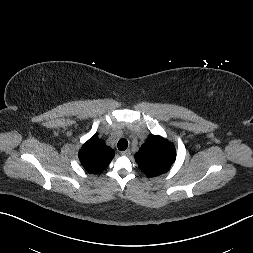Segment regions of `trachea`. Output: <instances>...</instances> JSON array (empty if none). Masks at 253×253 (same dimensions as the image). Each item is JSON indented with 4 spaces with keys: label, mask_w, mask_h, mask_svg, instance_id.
Masks as SVG:
<instances>
[{
    "label": "trachea",
    "mask_w": 253,
    "mask_h": 253,
    "mask_svg": "<svg viewBox=\"0 0 253 253\" xmlns=\"http://www.w3.org/2000/svg\"><path fill=\"white\" fill-rule=\"evenodd\" d=\"M117 147L120 151H124L128 147V141L125 138H122L118 141Z\"/></svg>",
    "instance_id": "1"
}]
</instances>
